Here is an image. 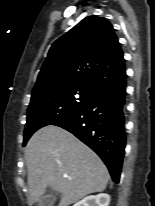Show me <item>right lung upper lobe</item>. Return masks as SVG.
I'll list each match as a JSON object with an SVG mask.
<instances>
[{"instance_id":"cb5924a9","label":"right lung upper lobe","mask_w":155,"mask_h":206,"mask_svg":"<svg viewBox=\"0 0 155 206\" xmlns=\"http://www.w3.org/2000/svg\"><path fill=\"white\" fill-rule=\"evenodd\" d=\"M124 62L110 22L86 17L53 43L32 94L75 85L100 91L126 75Z\"/></svg>"}]
</instances>
